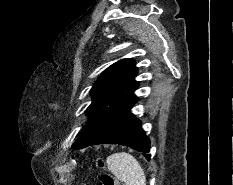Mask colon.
Here are the masks:
<instances>
[{
    "label": "colon",
    "mask_w": 233,
    "mask_h": 185,
    "mask_svg": "<svg viewBox=\"0 0 233 185\" xmlns=\"http://www.w3.org/2000/svg\"><path fill=\"white\" fill-rule=\"evenodd\" d=\"M99 185H119V184L111 174L107 172H103L100 176Z\"/></svg>",
    "instance_id": "colon-1"
}]
</instances>
